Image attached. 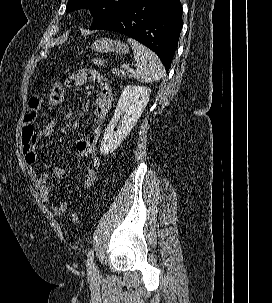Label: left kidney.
<instances>
[{
    "mask_svg": "<svg viewBox=\"0 0 272 303\" xmlns=\"http://www.w3.org/2000/svg\"><path fill=\"white\" fill-rule=\"evenodd\" d=\"M151 89L145 86L127 85L117 103L114 115L105 129L100 153L108 155L120 146L142 115ZM117 129L114 132V129Z\"/></svg>",
    "mask_w": 272,
    "mask_h": 303,
    "instance_id": "left-kidney-1",
    "label": "left kidney"
}]
</instances>
